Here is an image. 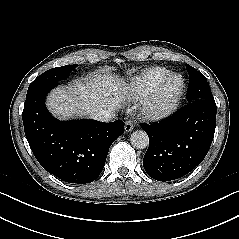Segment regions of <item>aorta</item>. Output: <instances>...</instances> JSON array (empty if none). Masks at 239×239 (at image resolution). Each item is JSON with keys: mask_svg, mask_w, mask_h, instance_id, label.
<instances>
[{"mask_svg": "<svg viewBox=\"0 0 239 239\" xmlns=\"http://www.w3.org/2000/svg\"><path fill=\"white\" fill-rule=\"evenodd\" d=\"M130 141L133 147L137 149H145L149 144V137L146 132L136 130L131 134Z\"/></svg>", "mask_w": 239, "mask_h": 239, "instance_id": "aorta-1", "label": "aorta"}]
</instances>
